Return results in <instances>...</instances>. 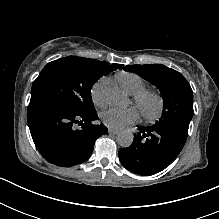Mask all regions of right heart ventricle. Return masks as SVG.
Listing matches in <instances>:
<instances>
[{"label": "right heart ventricle", "instance_id": "e07e8e85", "mask_svg": "<svg viewBox=\"0 0 219 219\" xmlns=\"http://www.w3.org/2000/svg\"><path fill=\"white\" fill-rule=\"evenodd\" d=\"M116 80L123 90L133 95L146 88L145 79L137 73L120 71L116 74Z\"/></svg>", "mask_w": 219, "mask_h": 219}]
</instances>
